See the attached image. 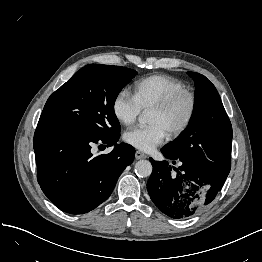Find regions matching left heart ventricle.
Masks as SVG:
<instances>
[{
    "instance_id": "1",
    "label": "left heart ventricle",
    "mask_w": 262,
    "mask_h": 262,
    "mask_svg": "<svg viewBox=\"0 0 262 262\" xmlns=\"http://www.w3.org/2000/svg\"><path fill=\"white\" fill-rule=\"evenodd\" d=\"M188 104L186 100H180L167 111H149V123H159L169 133L174 127L180 124L187 114Z\"/></svg>"
}]
</instances>
